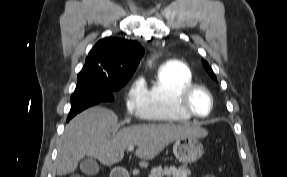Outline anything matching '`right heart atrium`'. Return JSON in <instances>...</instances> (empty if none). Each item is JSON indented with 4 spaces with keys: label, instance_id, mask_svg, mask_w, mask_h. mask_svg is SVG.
I'll list each match as a JSON object with an SVG mask.
<instances>
[{
    "label": "right heart atrium",
    "instance_id": "1",
    "mask_svg": "<svg viewBox=\"0 0 287 177\" xmlns=\"http://www.w3.org/2000/svg\"><path fill=\"white\" fill-rule=\"evenodd\" d=\"M146 85L142 78L135 79L128 87L125 104L129 111L142 116V106L146 95Z\"/></svg>",
    "mask_w": 287,
    "mask_h": 177
}]
</instances>
